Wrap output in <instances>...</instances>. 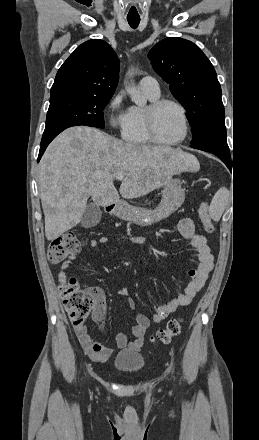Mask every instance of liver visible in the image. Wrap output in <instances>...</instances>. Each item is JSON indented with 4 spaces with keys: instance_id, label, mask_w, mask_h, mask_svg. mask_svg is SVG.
I'll use <instances>...</instances> for the list:
<instances>
[{
    "instance_id": "6515ba94",
    "label": "liver",
    "mask_w": 259,
    "mask_h": 440,
    "mask_svg": "<svg viewBox=\"0 0 259 440\" xmlns=\"http://www.w3.org/2000/svg\"><path fill=\"white\" fill-rule=\"evenodd\" d=\"M195 156L168 146L125 143L96 128L75 126L58 135L39 165L45 236L52 241L75 227L89 197L96 206L147 195L172 176L197 171ZM124 178L119 193L113 181Z\"/></svg>"
}]
</instances>
